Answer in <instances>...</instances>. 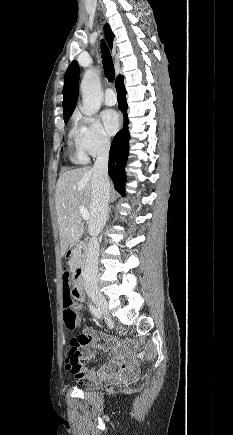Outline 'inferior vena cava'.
Returning <instances> with one entry per match:
<instances>
[{
  "label": "inferior vena cava",
  "mask_w": 233,
  "mask_h": 435,
  "mask_svg": "<svg viewBox=\"0 0 233 435\" xmlns=\"http://www.w3.org/2000/svg\"><path fill=\"white\" fill-rule=\"evenodd\" d=\"M110 141L104 140L98 157L92 168L93 176L91 181V206L88 231L91 236L88 243L83 282L85 289L97 288L99 242L98 234L105 226L108 217V204L110 199V182L108 177V155Z\"/></svg>",
  "instance_id": "obj_1"
}]
</instances>
